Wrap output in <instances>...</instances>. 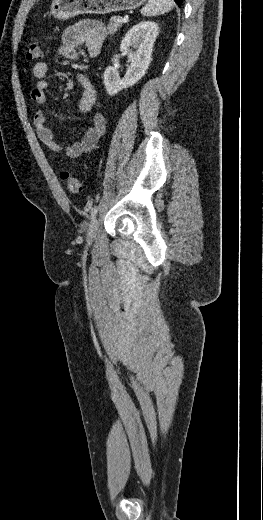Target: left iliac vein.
Masks as SVG:
<instances>
[{"label": "left iliac vein", "mask_w": 263, "mask_h": 520, "mask_svg": "<svg viewBox=\"0 0 263 520\" xmlns=\"http://www.w3.org/2000/svg\"><path fill=\"white\" fill-rule=\"evenodd\" d=\"M98 227H99L98 219L94 218L91 221V224H90V227H89V230H88V234H87V241H88V243H91L94 240V238L96 237V234H97V231H98Z\"/></svg>", "instance_id": "1"}]
</instances>
